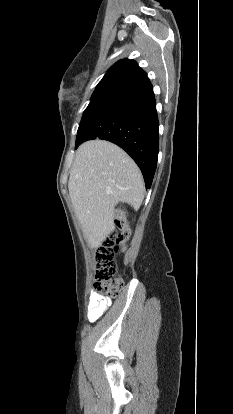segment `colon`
<instances>
[{"mask_svg":"<svg viewBox=\"0 0 233 414\" xmlns=\"http://www.w3.org/2000/svg\"><path fill=\"white\" fill-rule=\"evenodd\" d=\"M123 215V211L119 210ZM130 230L120 224L103 241L96 252L97 269L95 273L94 290L96 293L116 298L119 296L124 280L117 275L114 258L130 237Z\"/></svg>","mask_w":233,"mask_h":414,"instance_id":"1","label":"colon"}]
</instances>
